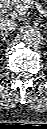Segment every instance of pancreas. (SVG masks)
I'll return each mask as SVG.
<instances>
[{
    "mask_svg": "<svg viewBox=\"0 0 47 129\" xmlns=\"http://www.w3.org/2000/svg\"><path fill=\"white\" fill-rule=\"evenodd\" d=\"M25 0H11V4L16 8L18 5H23Z\"/></svg>",
    "mask_w": 47,
    "mask_h": 129,
    "instance_id": "obj_1",
    "label": "pancreas"
}]
</instances>
